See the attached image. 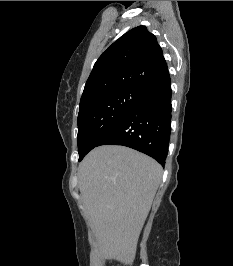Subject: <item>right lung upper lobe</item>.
<instances>
[{"label": "right lung upper lobe", "instance_id": "cb5924a9", "mask_svg": "<svg viewBox=\"0 0 233 266\" xmlns=\"http://www.w3.org/2000/svg\"><path fill=\"white\" fill-rule=\"evenodd\" d=\"M167 74L156 37L145 26H138L102 53L85 84L80 103L116 90L145 91Z\"/></svg>", "mask_w": 233, "mask_h": 266}]
</instances>
